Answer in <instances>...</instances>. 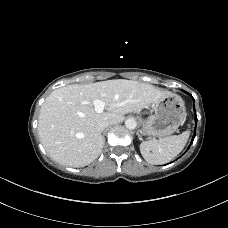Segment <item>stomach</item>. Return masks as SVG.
Returning <instances> with one entry per match:
<instances>
[{"label": "stomach", "mask_w": 228, "mask_h": 228, "mask_svg": "<svg viewBox=\"0 0 228 228\" xmlns=\"http://www.w3.org/2000/svg\"><path fill=\"white\" fill-rule=\"evenodd\" d=\"M154 111L143 122V133L151 137H169L184 122L185 104L180 96L168 93L152 104Z\"/></svg>", "instance_id": "obj_1"}]
</instances>
